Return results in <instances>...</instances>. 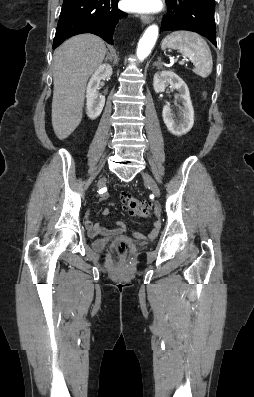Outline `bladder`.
Instances as JSON below:
<instances>
[{"label": "bladder", "instance_id": "bladder-1", "mask_svg": "<svg viewBox=\"0 0 254 397\" xmlns=\"http://www.w3.org/2000/svg\"><path fill=\"white\" fill-rule=\"evenodd\" d=\"M94 245H95V247L102 249L105 247L106 244H105V242L97 241L94 243Z\"/></svg>", "mask_w": 254, "mask_h": 397}]
</instances>
